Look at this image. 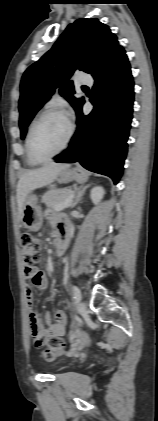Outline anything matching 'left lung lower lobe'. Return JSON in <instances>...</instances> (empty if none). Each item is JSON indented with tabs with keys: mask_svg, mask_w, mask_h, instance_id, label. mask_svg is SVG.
Listing matches in <instances>:
<instances>
[{
	"mask_svg": "<svg viewBox=\"0 0 158 421\" xmlns=\"http://www.w3.org/2000/svg\"><path fill=\"white\" fill-rule=\"evenodd\" d=\"M94 109L89 115L77 112V131L69 147L54 157L59 163L80 164L86 169L111 177L118 183L127 153L132 120L134 83L123 47L93 75Z\"/></svg>",
	"mask_w": 158,
	"mask_h": 421,
	"instance_id": "1",
	"label": "left lung lower lobe"
}]
</instances>
